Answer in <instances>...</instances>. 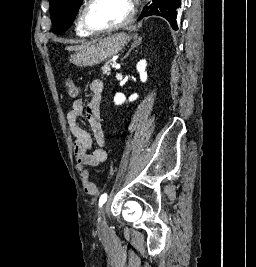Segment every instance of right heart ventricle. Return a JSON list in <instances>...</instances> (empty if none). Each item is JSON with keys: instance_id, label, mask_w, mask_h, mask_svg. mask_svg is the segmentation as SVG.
Wrapping results in <instances>:
<instances>
[{"instance_id": "obj_1", "label": "right heart ventricle", "mask_w": 256, "mask_h": 267, "mask_svg": "<svg viewBox=\"0 0 256 267\" xmlns=\"http://www.w3.org/2000/svg\"><path fill=\"white\" fill-rule=\"evenodd\" d=\"M74 31L77 36H95V34L89 33L86 31L81 23V15L78 16L75 25Z\"/></svg>"}]
</instances>
